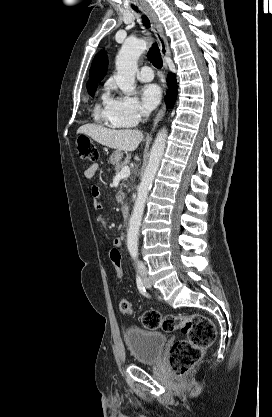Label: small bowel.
I'll list each match as a JSON object with an SVG mask.
<instances>
[{
  "label": "small bowel",
  "mask_w": 272,
  "mask_h": 417,
  "mask_svg": "<svg viewBox=\"0 0 272 417\" xmlns=\"http://www.w3.org/2000/svg\"><path fill=\"white\" fill-rule=\"evenodd\" d=\"M99 169V164L98 163H93L90 166H88L85 170H84V177L86 179H92L94 177V175L96 174V172ZM91 197H92V202H93V206L95 209H100L102 207V201H101V194H100V189L97 185H93L91 187ZM122 244V241L120 238H115L112 242V247H117L120 248Z\"/></svg>",
  "instance_id": "1"
}]
</instances>
